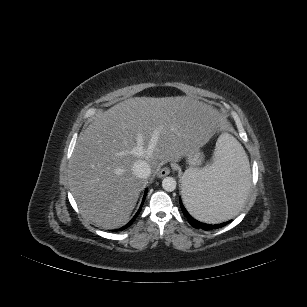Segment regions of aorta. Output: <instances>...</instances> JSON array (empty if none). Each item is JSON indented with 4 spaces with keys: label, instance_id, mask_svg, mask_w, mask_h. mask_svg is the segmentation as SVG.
I'll list each match as a JSON object with an SVG mask.
<instances>
[{
    "label": "aorta",
    "instance_id": "1",
    "mask_svg": "<svg viewBox=\"0 0 307 307\" xmlns=\"http://www.w3.org/2000/svg\"><path fill=\"white\" fill-rule=\"evenodd\" d=\"M176 180L173 177H166L162 181V187L167 192H172L176 189Z\"/></svg>",
    "mask_w": 307,
    "mask_h": 307
}]
</instances>
